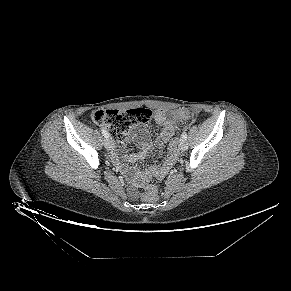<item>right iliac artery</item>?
<instances>
[{
	"mask_svg": "<svg viewBox=\"0 0 291 291\" xmlns=\"http://www.w3.org/2000/svg\"><path fill=\"white\" fill-rule=\"evenodd\" d=\"M101 131H102L103 136H104L106 139H108V138H109V135H108L107 131H106L105 129H101Z\"/></svg>",
	"mask_w": 291,
	"mask_h": 291,
	"instance_id": "right-iliac-artery-1",
	"label": "right iliac artery"
}]
</instances>
